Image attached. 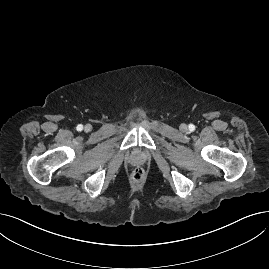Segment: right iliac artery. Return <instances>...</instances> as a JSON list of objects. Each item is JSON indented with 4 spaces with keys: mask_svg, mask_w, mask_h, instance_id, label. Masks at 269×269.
I'll list each match as a JSON object with an SVG mask.
<instances>
[{
    "mask_svg": "<svg viewBox=\"0 0 269 269\" xmlns=\"http://www.w3.org/2000/svg\"><path fill=\"white\" fill-rule=\"evenodd\" d=\"M77 131H82L83 129V125L79 124L77 127H76Z\"/></svg>",
    "mask_w": 269,
    "mask_h": 269,
    "instance_id": "82829eb1",
    "label": "right iliac artery"
}]
</instances>
